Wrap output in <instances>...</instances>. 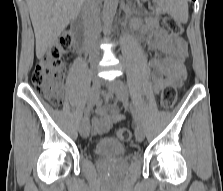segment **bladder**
I'll use <instances>...</instances> for the list:
<instances>
[{"label": "bladder", "instance_id": "obj_1", "mask_svg": "<svg viewBox=\"0 0 223 191\" xmlns=\"http://www.w3.org/2000/svg\"><path fill=\"white\" fill-rule=\"evenodd\" d=\"M94 153L101 158H120L125 156L126 147L122 141L116 138L105 137L97 142L94 148Z\"/></svg>", "mask_w": 223, "mask_h": 191}]
</instances>
